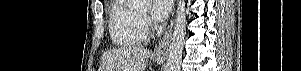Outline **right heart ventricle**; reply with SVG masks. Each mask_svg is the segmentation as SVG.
I'll return each instance as SVG.
<instances>
[{
    "label": "right heart ventricle",
    "instance_id": "right-heart-ventricle-1",
    "mask_svg": "<svg viewBox=\"0 0 301 71\" xmlns=\"http://www.w3.org/2000/svg\"><path fill=\"white\" fill-rule=\"evenodd\" d=\"M108 25L112 42L117 46H138L146 43L148 39V31L140 14L129 0L114 2Z\"/></svg>",
    "mask_w": 301,
    "mask_h": 71
}]
</instances>
